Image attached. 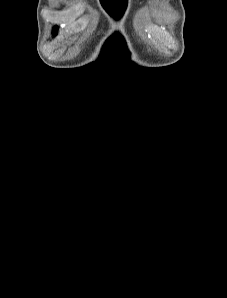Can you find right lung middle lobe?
<instances>
[{
	"label": "right lung middle lobe",
	"instance_id": "right-lung-middle-lobe-1",
	"mask_svg": "<svg viewBox=\"0 0 227 298\" xmlns=\"http://www.w3.org/2000/svg\"><path fill=\"white\" fill-rule=\"evenodd\" d=\"M57 30H58V27H54V34H56Z\"/></svg>",
	"mask_w": 227,
	"mask_h": 298
}]
</instances>
